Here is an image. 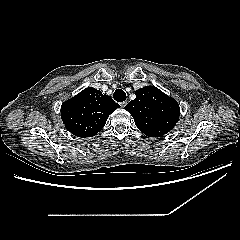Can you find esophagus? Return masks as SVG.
<instances>
[{
  "instance_id": "obj_1",
  "label": "esophagus",
  "mask_w": 240,
  "mask_h": 240,
  "mask_svg": "<svg viewBox=\"0 0 240 240\" xmlns=\"http://www.w3.org/2000/svg\"><path fill=\"white\" fill-rule=\"evenodd\" d=\"M126 104H127V101H123V102L120 103V106H121L122 108H124V107L126 106Z\"/></svg>"
}]
</instances>
